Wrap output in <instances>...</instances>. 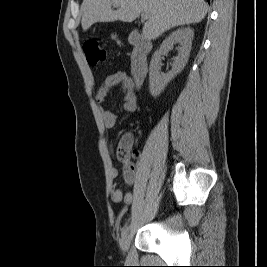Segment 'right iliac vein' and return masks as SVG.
Masks as SVG:
<instances>
[{
	"mask_svg": "<svg viewBox=\"0 0 267 267\" xmlns=\"http://www.w3.org/2000/svg\"><path fill=\"white\" fill-rule=\"evenodd\" d=\"M129 244H130V236L126 235L122 238L121 243H120V247H121L123 254L127 252Z\"/></svg>",
	"mask_w": 267,
	"mask_h": 267,
	"instance_id": "right-iliac-vein-1",
	"label": "right iliac vein"
}]
</instances>
